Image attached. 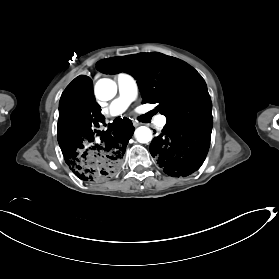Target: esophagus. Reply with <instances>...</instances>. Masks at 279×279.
<instances>
[{
  "label": "esophagus",
  "instance_id": "esophagus-1",
  "mask_svg": "<svg viewBox=\"0 0 279 279\" xmlns=\"http://www.w3.org/2000/svg\"><path fill=\"white\" fill-rule=\"evenodd\" d=\"M132 123H133L134 127H137V126H139V125H140V123H139V122H137V121H135V120H133V121H132Z\"/></svg>",
  "mask_w": 279,
  "mask_h": 279
}]
</instances>
